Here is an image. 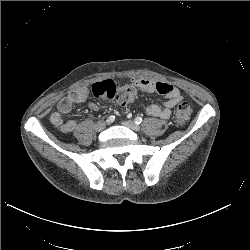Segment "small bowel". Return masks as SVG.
<instances>
[{
	"label": "small bowel",
	"instance_id": "small-bowel-1",
	"mask_svg": "<svg viewBox=\"0 0 250 250\" xmlns=\"http://www.w3.org/2000/svg\"><path fill=\"white\" fill-rule=\"evenodd\" d=\"M125 87L132 88L134 91L158 92L166 97L163 107L154 104L146 107L145 113L152 117L170 118L171 109L182 100L180 90L167 82L140 78L133 79L130 85ZM89 92L88 88H81L71 92L59 101L57 110L50 116V121L62 133H71L76 128V122L74 120L64 121L63 114L69 113L77 104L83 103L87 99ZM87 106L90 110L97 109L93 103H88Z\"/></svg>",
	"mask_w": 250,
	"mask_h": 250
}]
</instances>
